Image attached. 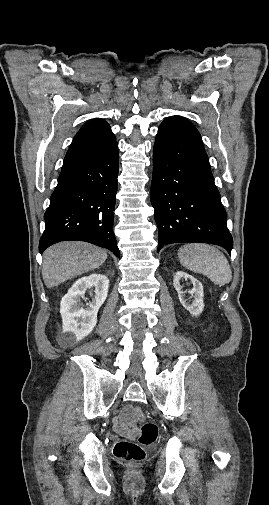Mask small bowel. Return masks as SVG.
I'll use <instances>...</instances> for the list:
<instances>
[{"instance_id":"c3829d8e","label":"small bowel","mask_w":269,"mask_h":505,"mask_svg":"<svg viewBox=\"0 0 269 505\" xmlns=\"http://www.w3.org/2000/svg\"><path fill=\"white\" fill-rule=\"evenodd\" d=\"M134 407L132 405H127L122 410L121 415L115 418L113 421L115 431L125 437H133L138 433V428L135 425V419L133 418Z\"/></svg>"}]
</instances>
